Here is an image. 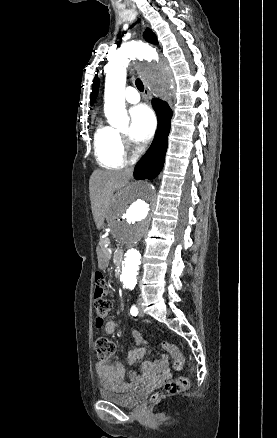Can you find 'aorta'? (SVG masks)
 Instances as JSON below:
<instances>
[{"label": "aorta", "mask_w": 277, "mask_h": 438, "mask_svg": "<svg viewBox=\"0 0 277 438\" xmlns=\"http://www.w3.org/2000/svg\"><path fill=\"white\" fill-rule=\"evenodd\" d=\"M131 59L147 61L158 59L155 50L141 42L121 46L106 66L104 111L110 125L116 128L129 123L125 109L126 68ZM148 87L168 100L176 93L175 82L168 68L150 65L141 69ZM156 191L147 181H138L125 189L109 211L111 233L124 249L120 279L125 288L133 290L141 263L138 246L148 234L155 216Z\"/></svg>", "instance_id": "aorta-1"}]
</instances>
